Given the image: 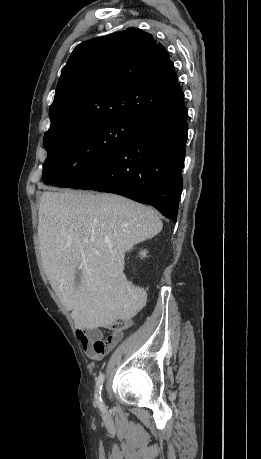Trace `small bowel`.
Here are the masks:
<instances>
[{
  "label": "small bowel",
  "mask_w": 261,
  "mask_h": 459,
  "mask_svg": "<svg viewBox=\"0 0 261 459\" xmlns=\"http://www.w3.org/2000/svg\"><path fill=\"white\" fill-rule=\"evenodd\" d=\"M76 336L86 355L91 359L100 360L122 340L123 333L113 332L105 338L99 327L85 323L76 329Z\"/></svg>",
  "instance_id": "c3829d8e"
}]
</instances>
